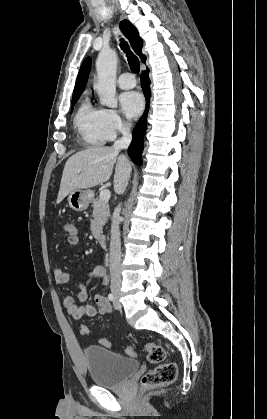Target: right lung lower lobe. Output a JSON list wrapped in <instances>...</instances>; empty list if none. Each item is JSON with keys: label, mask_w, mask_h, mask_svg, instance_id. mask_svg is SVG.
Returning a JSON list of instances; mask_svg holds the SVG:
<instances>
[{"label": "right lung lower lobe", "mask_w": 267, "mask_h": 419, "mask_svg": "<svg viewBox=\"0 0 267 419\" xmlns=\"http://www.w3.org/2000/svg\"><path fill=\"white\" fill-rule=\"evenodd\" d=\"M149 70L148 68L142 73L141 75V87L143 89L145 98H146V108L143 113V115L140 117L139 121L135 125L133 131H132V143L128 148V153L131 158V160L137 164H142V151H143V143H144V133L147 126V114L149 110V104H150V79L148 77Z\"/></svg>", "instance_id": "1"}]
</instances>
